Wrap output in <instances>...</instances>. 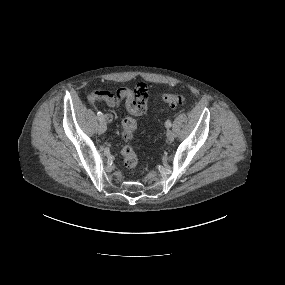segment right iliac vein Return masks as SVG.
<instances>
[{
  "label": "right iliac vein",
  "instance_id": "obj_1",
  "mask_svg": "<svg viewBox=\"0 0 285 285\" xmlns=\"http://www.w3.org/2000/svg\"><path fill=\"white\" fill-rule=\"evenodd\" d=\"M97 131L99 134H103L106 131V125L103 121H100L97 127Z\"/></svg>",
  "mask_w": 285,
  "mask_h": 285
}]
</instances>
